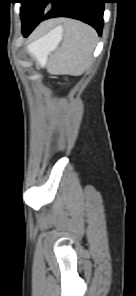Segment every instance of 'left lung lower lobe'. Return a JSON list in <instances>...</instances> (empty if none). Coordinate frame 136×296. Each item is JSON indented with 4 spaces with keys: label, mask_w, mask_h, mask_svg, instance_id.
<instances>
[{
    "label": "left lung lower lobe",
    "mask_w": 136,
    "mask_h": 296,
    "mask_svg": "<svg viewBox=\"0 0 136 296\" xmlns=\"http://www.w3.org/2000/svg\"><path fill=\"white\" fill-rule=\"evenodd\" d=\"M52 8L42 19L36 23L22 29L25 37L43 20L54 17H70L84 21L94 27L101 35L103 28V12L106 0H53Z\"/></svg>",
    "instance_id": "left-lung-lower-lobe-1"
}]
</instances>
